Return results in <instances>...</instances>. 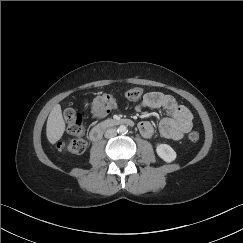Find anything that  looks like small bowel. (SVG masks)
<instances>
[{"instance_id": "small-bowel-1", "label": "small bowel", "mask_w": 243, "mask_h": 243, "mask_svg": "<svg viewBox=\"0 0 243 243\" xmlns=\"http://www.w3.org/2000/svg\"><path fill=\"white\" fill-rule=\"evenodd\" d=\"M117 106V99L114 95L109 93L96 95L90 103L91 117L94 119L103 118L115 110ZM144 108L162 109L167 114V117L159 122L157 129L149 121H143L139 124V131L146 138L159 134L167 139L180 140L192 129V113L170 95L160 92L147 93L136 106V110L140 111Z\"/></svg>"}]
</instances>
